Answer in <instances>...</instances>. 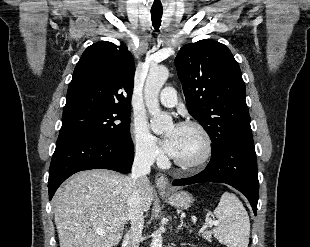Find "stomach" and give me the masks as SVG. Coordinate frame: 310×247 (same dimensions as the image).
<instances>
[{
  "label": "stomach",
  "mask_w": 310,
  "mask_h": 247,
  "mask_svg": "<svg viewBox=\"0 0 310 247\" xmlns=\"http://www.w3.org/2000/svg\"><path fill=\"white\" fill-rule=\"evenodd\" d=\"M162 197L172 206L178 209H188L193 204V196L188 192H173L171 194L161 193Z\"/></svg>",
  "instance_id": "0dacf381"
}]
</instances>
